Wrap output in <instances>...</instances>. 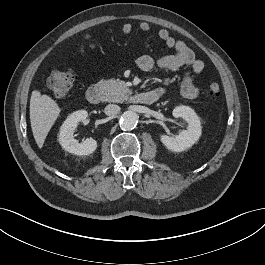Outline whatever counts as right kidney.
Segmentation results:
<instances>
[{"label": "right kidney", "mask_w": 265, "mask_h": 265, "mask_svg": "<svg viewBox=\"0 0 265 265\" xmlns=\"http://www.w3.org/2000/svg\"><path fill=\"white\" fill-rule=\"evenodd\" d=\"M87 116L88 113L85 110L75 111L70 114L62 124L58 135V141L67 152L82 156L90 155L96 150V140L89 138L79 143L74 138V130L77 128L79 122H84L86 120Z\"/></svg>", "instance_id": "ca27d5eb"}]
</instances>
